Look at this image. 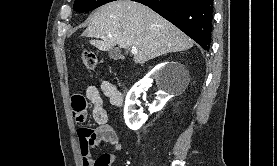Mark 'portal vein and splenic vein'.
<instances>
[{
  "mask_svg": "<svg viewBox=\"0 0 277 166\" xmlns=\"http://www.w3.org/2000/svg\"><path fill=\"white\" fill-rule=\"evenodd\" d=\"M131 53L132 54H137V49L133 47L132 50H131Z\"/></svg>",
  "mask_w": 277,
  "mask_h": 166,
  "instance_id": "portal-vein-and-splenic-vein-1",
  "label": "portal vein and splenic vein"
}]
</instances>
